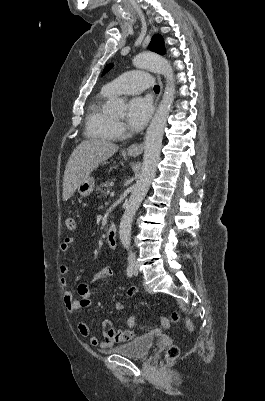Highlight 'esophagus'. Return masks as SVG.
I'll return each mask as SVG.
<instances>
[{"label":"esophagus","instance_id":"1","mask_svg":"<svg viewBox=\"0 0 265 401\" xmlns=\"http://www.w3.org/2000/svg\"><path fill=\"white\" fill-rule=\"evenodd\" d=\"M157 80H158V83L160 85V92H159V95L157 96V98L155 100V106H157V104H158L160 95L162 93V87H163V84H162V81H161V77L159 75L157 76ZM142 151H143L142 143H134L133 145H130L127 148V153L130 156H138V155H140L142 153Z\"/></svg>","mask_w":265,"mask_h":401}]
</instances>
